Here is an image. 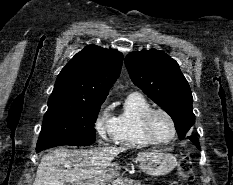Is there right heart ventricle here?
<instances>
[{"instance_id": "e07e8e85", "label": "right heart ventricle", "mask_w": 233, "mask_h": 185, "mask_svg": "<svg viewBox=\"0 0 233 185\" xmlns=\"http://www.w3.org/2000/svg\"><path fill=\"white\" fill-rule=\"evenodd\" d=\"M150 103L140 93L129 94L122 109L114 117V141L129 147H146L152 144L144 135L141 126L143 115L151 109Z\"/></svg>"}]
</instances>
